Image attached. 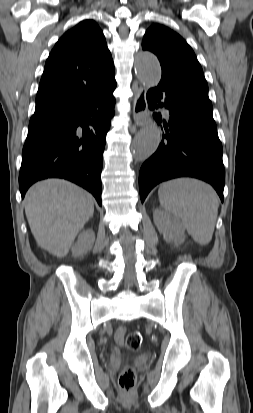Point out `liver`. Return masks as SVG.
Listing matches in <instances>:
<instances>
[{
  "mask_svg": "<svg viewBox=\"0 0 253 413\" xmlns=\"http://www.w3.org/2000/svg\"><path fill=\"white\" fill-rule=\"evenodd\" d=\"M93 213L92 196L66 180L37 182L26 194L25 214L36 242L59 258L68 254Z\"/></svg>",
  "mask_w": 253,
  "mask_h": 413,
  "instance_id": "1",
  "label": "liver"
}]
</instances>
